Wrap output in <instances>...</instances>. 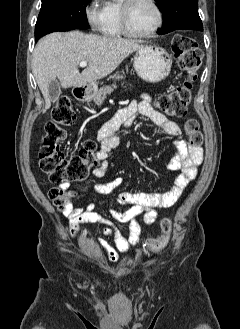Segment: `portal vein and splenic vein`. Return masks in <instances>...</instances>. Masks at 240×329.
<instances>
[{
  "label": "portal vein and splenic vein",
  "mask_w": 240,
  "mask_h": 329,
  "mask_svg": "<svg viewBox=\"0 0 240 329\" xmlns=\"http://www.w3.org/2000/svg\"><path fill=\"white\" fill-rule=\"evenodd\" d=\"M87 65H88V62H86V61H82L79 63V66L82 68L86 67Z\"/></svg>",
  "instance_id": "1"
}]
</instances>
